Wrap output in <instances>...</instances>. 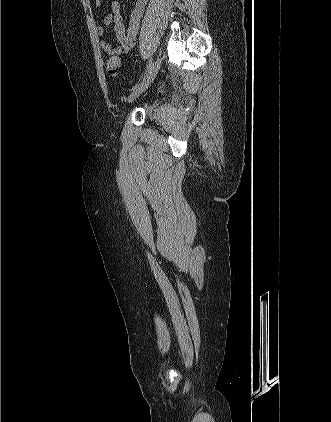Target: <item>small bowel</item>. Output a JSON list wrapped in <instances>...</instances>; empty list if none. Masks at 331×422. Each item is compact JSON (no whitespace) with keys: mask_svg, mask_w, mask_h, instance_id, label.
Here are the masks:
<instances>
[{"mask_svg":"<svg viewBox=\"0 0 331 422\" xmlns=\"http://www.w3.org/2000/svg\"><path fill=\"white\" fill-rule=\"evenodd\" d=\"M147 0H136L135 7L132 10L129 18L128 26L123 24V18L121 14V5L118 1L111 3L110 12L106 15L102 24H98L95 27V32L99 36H103L110 24H114V32L118 45H112L107 40L100 42L101 49L111 57L126 54L132 49L136 42V35L139 28V23L143 15ZM95 7L99 8L102 6V0H94Z\"/></svg>","mask_w":331,"mask_h":422,"instance_id":"obj_1","label":"small bowel"}]
</instances>
